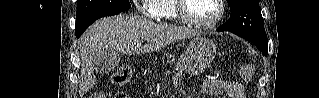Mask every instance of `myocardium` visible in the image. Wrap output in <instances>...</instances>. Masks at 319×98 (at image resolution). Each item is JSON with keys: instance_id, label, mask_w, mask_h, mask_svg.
Masks as SVG:
<instances>
[{"instance_id": "f54148a6", "label": "myocardium", "mask_w": 319, "mask_h": 98, "mask_svg": "<svg viewBox=\"0 0 319 98\" xmlns=\"http://www.w3.org/2000/svg\"><path fill=\"white\" fill-rule=\"evenodd\" d=\"M216 1L219 6V12L212 20L209 21H199L190 17L185 10V0H175V8L179 19L183 23L196 28H212L222 20L225 14V1Z\"/></svg>"}]
</instances>
